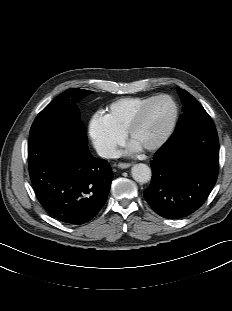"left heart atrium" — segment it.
<instances>
[{
    "label": "left heart atrium",
    "instance_id": "left-heart-atrium-1",
    "mask_svg": "<svg viewBox=\"0 0 232 311\" xmlns=\"http://www.w3.org/2000/svg\"><path fill=\"white\" fill-rule=\"evenodd\" d=\"M139 150H141V148L138 147L137 145L133 144V143H130L128 146V152L129 153L137 152Z\"/></svg>",
    "mask_w": 232,
    "mask_h": 311
}]
</instances>
